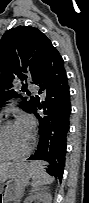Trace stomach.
Here are the masks:
<instances>
[{
  "label": "stomach",
  "mask_w": 89,
  "mask_h": 203,
  "mask_svg": "<svg viewBox=\"0 0 89 203\" xmlns=\"http://www.w3.org/2000/svg\"><path fill=\"white\" fill-rule=\"evenodd\" d=\"M29 178L28 169L21 170L15 165L6 168L1 177L2 191L4 192L3 203H15L22 196L24 185Z\"/></svg>",
  "instance_id": "stomach-1"
}]
</instances>
